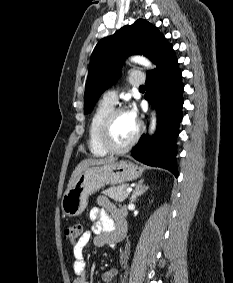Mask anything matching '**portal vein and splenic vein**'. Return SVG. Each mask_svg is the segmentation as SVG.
I'll return each instance as SVG.
<instances>
[{
	"mask_svg": "<svg viewBox=\"0 0 233 283\" xmlns=\"http://www.w3.org/2000/svg\"><path fill=\"white\" fill-rule=\"evenodd\" d=\"M126 192H128V193L132 192V188H130V187L127 188V189H126Z\"/></svg>",
	"mask_w": 233,
	"mask_h": 283,
	"instance_id": "1",
	"label": "portal vein and splenic vein"
}]
</instances>
